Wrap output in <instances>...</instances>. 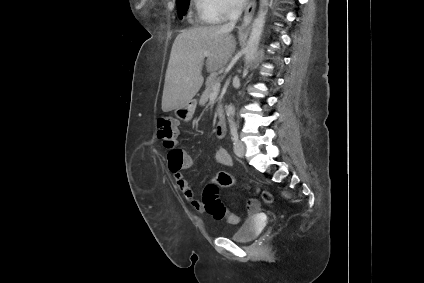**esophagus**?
<instances>
[{
	"label": "esophagus",
	"mask_w": 424,
	"mask_h": 283,
	"mask_svg": "<svg viewBox=\"0 0 424 283\" xmlns=\"http://www.w3.org/2000/svg\"><path fill=\"white\" fill-rule=\"evenodd\" d=\"M255 8H256V0H251L248 6L246 7L243 21L241 24V29H246L249 27L255 12Z\"/></svg>",
	"instance_id": "obj_1"
}]
</instances>
